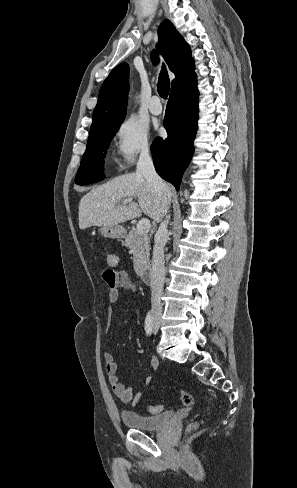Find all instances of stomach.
<instances>
[{
    "mask_svg": "<svg viewBox=\"0 0 297 488\" xmlns=\"http://www.w3.org/2000/svg\"><path fill=\"white\" fill-rule=\"evenodd\" d=\"M100 231L107 238H124L126 234L125 229L120 225L103 226Z\"/></svg>",
    "mask_w": 297,
    "mask_h": 488,
    "instance_id": "1",
    "label": "stomach"
}]
</instances>
